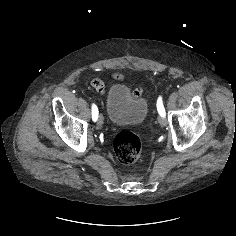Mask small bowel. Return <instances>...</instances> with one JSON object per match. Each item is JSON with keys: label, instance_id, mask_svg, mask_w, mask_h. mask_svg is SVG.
<instances>
[{"label": "small bowel", "instance_id": "small-bowel-1", "mask_svg": "<svg viewBox=\"0 0 236 236\" xmlns=\"http://www.w3.org/2000/svg\"><path fill=\"white\" fill-rule=\"evenodd\" d=\"M113 78L118 79V80H123L124 76L122 74L116 73L113 75ZM91 84L96 90H98L99 92H103L104 86L99 80L93 79L91 81Z\"/></svg>", "mask_w": 236, "mask_h": 236}]
</instances>
